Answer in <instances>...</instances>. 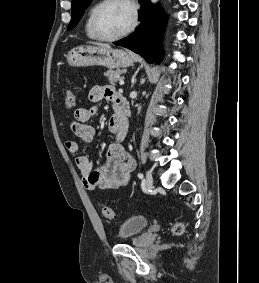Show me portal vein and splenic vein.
Masks as SVG:
<instances>
[{"label": "portal vein and splenic vein", "instance_id": "portal-vein-and-splenic-vein-1", "mask_svg": "<svg viewBox=\"0 0 259 283\" xmlns=\"http://www.w3.org/2000/svg\"><path fill=\"white\" fill-rule=\"evenodd\" d=\"M119 84H120V85H123V84H124V78H120Z\"/></svg>", "mask_w": 259, "mask_h": 283}]
</instances>
